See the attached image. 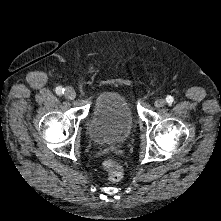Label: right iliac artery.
Returning a JSON list of instances; mask_svg holds the SVG:
<instances>
[{"label": "right iliac artery", "mask_w": 221, "mask_h": 221, "mask_svg": "<svg viewBox=\"0 0 221 221\" xmlns=\"http://www.w3.org/2000/svg\"><path fill=\"white\" fill-rule=\"evenodd\" d=\"M64 91H65L64 88H62L61 86H59L55 89V92L57 95H62L64 93Z\"/></svg>", "instance_id": "right-iliac-artery-1"}]
</instances>
